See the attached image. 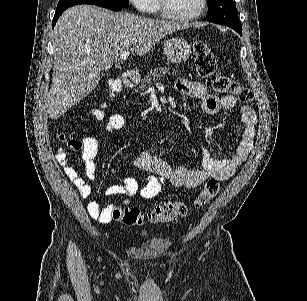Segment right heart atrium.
Masks as SVG:
<instances>
[{
    "label": "right heart atrium",
    "mask_w": 307,
    "mask_h": 301,
    "mask_svg": "<svg viewBox=\"0 0 307 301\" xmlns=\"http://www.w3.org/2000/svg\"><path fill=\"white\" fill-rule=\"evenodd\" d=\"M133 2L138 11H154V4H150L151 0H133Z\"/></svg>",
    "instance_id": "obj_1"
}]
</instances>
